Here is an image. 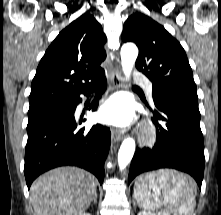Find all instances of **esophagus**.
Segmentation results:
<instances>
[{
  "label": "esophagus",
  "instance_id": "esophagus-1",
  "mask_svg": "<svg viewBox=\"0 0 221 215\" xmlns=\"http://www.w3.org/2000/svg\"><path fill=\"white\" fill-rule=\"evenodd\" d=\"M111 81L113 84V88L118 89L123 87L122 72L119 66L114 67L111 74ZM111 134L114 142H119L123 139V135L118 130L113 129L111 131Z\"/></svg>",
  "mask_w": 221,
  "mask_h": 215
}]
</instances>
